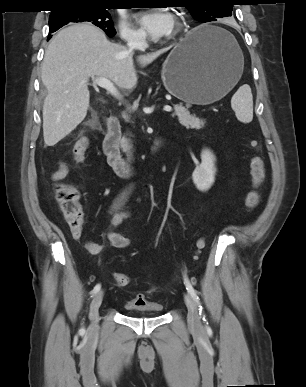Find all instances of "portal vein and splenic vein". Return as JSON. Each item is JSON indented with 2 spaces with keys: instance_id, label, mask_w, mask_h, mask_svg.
I'll list each match as a JSON object with an SVG mask.
<instances>
[{
  "instance_id": "portal-vein-and-splenic-vein-1",
  "label": "portal vein and splenic vein",
  "mask_w": 306,
  "mask_h": 387,
  "mask_svg": "<svg viewBox=\"0 0 306 387\" xmlns=\"http://www.w3.org/2000/svg\"><path fill=\"white\" fill-rule=\"evenodd\" d=\"M94 82L99 87L106 89L108 91V93H110L112 96L120 99L119 93H118L116 87L114 86V84L109 79L103 78V77H98V78L95 79ZM163 109L166 112H171L172 111V108L169 105H165Z\"/></svg>"
}]
</instances>
